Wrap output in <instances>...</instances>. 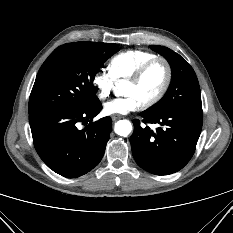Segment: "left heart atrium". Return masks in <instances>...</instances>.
I'll return each instance as SVG.
<instances>
[{
	"mask_svg": "<svg viewBox=\"0 0 233 233\" xmlns=\"http://www.w3.org/2000/svg\"><path fill=\"white\" fill-rule=\"evenodd\" d=\"M142 104L136 95L129 94L106 102L104 111L109 115H123L140 109Z\"/></svg>",
	"mask_w": 233,
	"mask_h": 233,
	"instance_id": "1",
	"label": "left heart atrium"
}]
</instances>
